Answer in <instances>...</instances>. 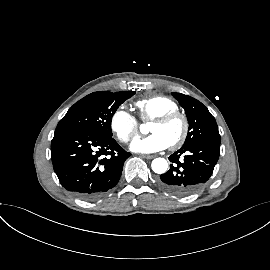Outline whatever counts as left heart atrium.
<instances>
[{
    "label": "left heart atrium",
    "mask_w": 270,
    "mask_h": 270,
    "mask_svg": "<svg viewBox=\"0 0 270 270\" xmlns=\"http://www.w3.org/2000/svg\"><path fill=\"white\" fill-rule=\"evenodd\" d=\"M169 147L167 141L158 134H151L144 138H136L132 141L130 149L137 153H156Z\"/></svg>",
    "instance_id": "obj_1"
}]
</instances>
